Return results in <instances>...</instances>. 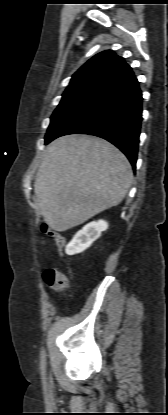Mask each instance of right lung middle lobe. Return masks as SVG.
<instances>
[{
	"mask_svg": "<svg viewBox=\"0 0 168 415\" xmlns=\"http://www.w3.org/2000/svg\"><path fill=\"white\" fill-rule=\"evenodd\" d=\"M99 94L100 92L84 91L63 95L58 107L51 116L50 125L45 136V142L53 137L66 121Z\"/></svg>",
	"mask_w": 168,
	"mask_h": 415,
	"instance_id": "1",
	"label": "right lung middle lobe"
}]
</instances>
